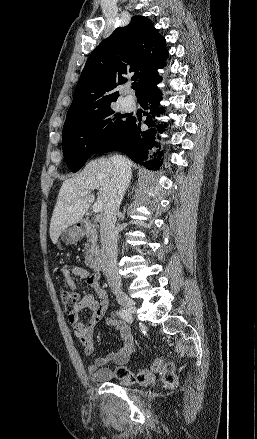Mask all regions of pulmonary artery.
<instances>
[{
	"instance_id": "e3ab8cb5",
	"label": "pulmonary artery",
	"mask_w": 257,
	"mask_h": 439,
	"mask_svg": "<svg viewBox=\"0 0 257 439\" xmlns=\"http://www.w3.org/2000/svg\"><path fill=\"white\" fill-rule=\"evenodd\" d=\"M123 106L127 109V110H131L135 107V100L132 97H125L123 99Z\"/></svg>"
}]
</instances>
